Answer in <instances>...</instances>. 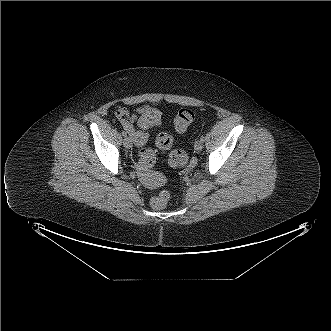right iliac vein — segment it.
Returning a JSON list of instances; mask_svg holds the SVG:
<instances>
[{"label": "right iliac vein", "instance_id": "right-iliac-vein-1", "mask_svg": "<svg viewBox=\"0 0 331 331\" xmlns=\"http://www.w3.org/2000/svg\"><path fill=\"white\" fill-rule=\"evenodd\" d=\"M123 145L126 149H130L132 147L131 140L128 137H125L123 140Z\"/></svg>", "mask_w": 331, "mask_h": 331}]
</instances>
